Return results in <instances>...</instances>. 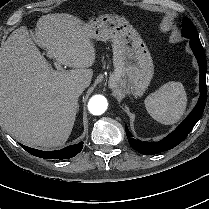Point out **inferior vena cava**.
<instances>
[{
  "instance_id": "602c4592",
  "label": "inferior vena cava",
  "mask_w": 209,
  "mask_h": 209,
  "mask_svg": "<svg viewBox=\"0 0 209 209\" xmlns=\"http://www.w3.org/2000/svg\"><path fill=\"white\" fill-rule=\"evenodd\" d=\"M85 88H86V85L84 83H78L75 86V91L77 94L80 95L84 91Z\"/></svg>"
}]
</instances>
